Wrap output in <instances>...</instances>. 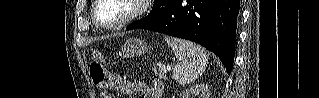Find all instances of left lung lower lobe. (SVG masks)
I'll use <instances>...</instances> for the list:
<instances>
[{"mask_svg": "<svg viewBox=\"0 0 319 98\" xmlns=\"http://www.w3.org/2000/svg\"><path fill=\"white\" fill-rule=\"evenodd\" d=\"M239 9V0H165L160 18L126 30L147 29L199 43L215 53L230 74Z\"/></svg>", "mask_w": 319, "mask_h": 98, "instance_id": "0a47b994", "label": "left lung lower lobe"}]
</instances>
